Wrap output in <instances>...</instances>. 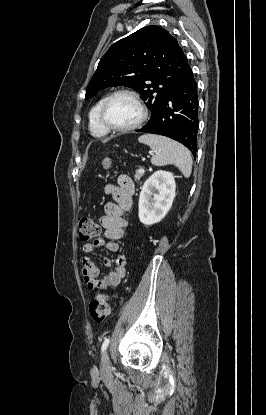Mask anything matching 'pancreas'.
<instances>
[{"instance_id": "pancreas-1", "label": "pancreas", "mask_w": 266, "mask_h": 415, "mask_svg": "<svg viewBox=\"0 0 266 415\" xmlns=\"http://www.w3.org/2000/svg\"><path fill=\"white\" fill-rule=\"evenodd\" d=\"M143 175H144V173H139V172H137V173L134 175V179H135V181H136V182L140 181V179L143 177Z\"/></svg>"}]
</instances>
